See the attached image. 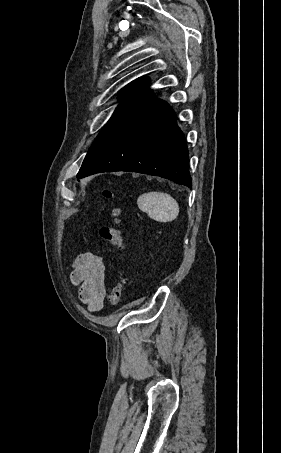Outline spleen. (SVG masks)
Returning <instances> with one entry per match:
<instances>
[{"instance_id": "spleen-1", "label": "spleen", "mask_w": 281, "mask_h": 453, "mask_svg": "<svg viewBox=\"0 0 281 453\" xmlns=\"http://www.w3.org/2000/svg\"><path fill=\"white\" fill-rule=\"evenodd\" d=\"M137 204L140 210L147 212L150 218L159 222L175 220L179 212V204L167 192H144L140 194Z\"/></svg>"}]
</instances>
